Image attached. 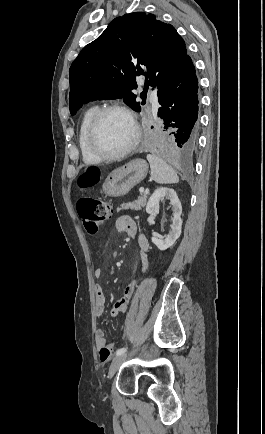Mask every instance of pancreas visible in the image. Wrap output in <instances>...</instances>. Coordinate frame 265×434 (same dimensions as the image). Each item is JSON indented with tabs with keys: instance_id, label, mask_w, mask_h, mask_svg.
<instances>
[{
	"instance_id": "pancreas-1",
	"label": "pancreas",
	"mask_w": 265,
	"mask_h": 434,
	"mask_svg": "<svg viewBox=\"0 0 265 434\" xmlns=\"http://www.w3.org/2000/svg\"><path fill=\"white\" fill-rule=\"evenodd\" d=\"M148 194H141L139 196L138 200H134V202H128V204H121V208H117V212H120V210H141V208H144L146 206V200H147Z\"/></svg>"
}]
</instances>
